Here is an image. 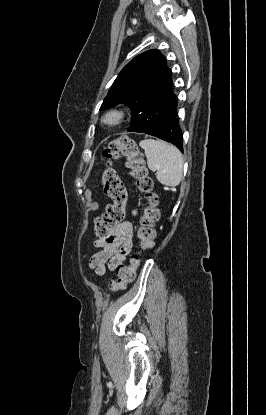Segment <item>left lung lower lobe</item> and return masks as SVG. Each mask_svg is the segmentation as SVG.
<instances>
[{"instance_id": "left-lung-lower-lobe-1", "label": "left lung lower lobe", "mask_w": 266, "mask_h": 415, "mask_svg": "<svg viewBox=\"0 0 266 415\" xmlns=\"http://www.w3.org/2000/svg\"><path fill=\"white\" fill-rule=\"evenodd\" d=\"M143 133L158 137L164 141L174 144L183 152V137L179 126L177 104L158 125Z\"/></svg>"}]
</instances>
